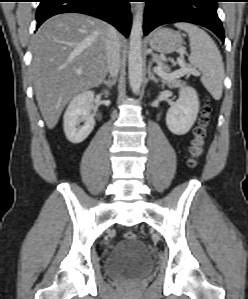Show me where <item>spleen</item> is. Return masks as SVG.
<instances>
[{
  "label": "spleen",
  "mask_w": 248,
  "mask_h": 299,
  "mask_svg": "<svg viewBox=\"0 0 248 299\" xmlns=\"http://www.w3.org/2000/svg\"><path fill=\"white\" fill-rule=\"evenodd\" d=\"M188 33L191 53L189 62L201 73V82L214 99L222 96L224 64L220 51L213 39L198 26L190 23L174 25Z\"/></svg>",
  "instance_id": "spleen-1"
}]
</instances>
